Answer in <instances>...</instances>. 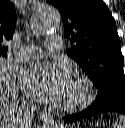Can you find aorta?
<instances>
[{
	"label": "aorta",
	"instance_id": "1",
	"mask_svg": "<svg viewBox=\"0 0 125 128\" xmlns=\"http://www.w3.org/2000/svg\"><path fill=\"white\" fill-rule=\"evenodd\" d=\"M60 25L59 12L50 5H44L36 10L32 29L36 34H45L56 30ZM43 128H60V123L56 121H49L43 125Z\"/></svg>",
	"mask_w": 125,
	"mask_h": 128
}]
</instances>
